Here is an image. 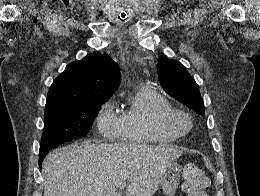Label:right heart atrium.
Instances as JSON below:
<instances>
[{"mask_svg":"<svg viewBox=\"0 0 260 196\" xmlns=\"http://www.w3.org/2000/svg\"><path fill=\"white\" fill-rule=\"evenodd\" d=\"M97 128L100 134L105 138L109 139L117 131L121 122L117 117L114 106L111 102L104 103L98 111L96 117ZM146 190H126V192H145Z\"/></svg>","mask_w":260,"mask_h":196,"instance_id":"1","label":"right heart atrium"}]
</instances>
